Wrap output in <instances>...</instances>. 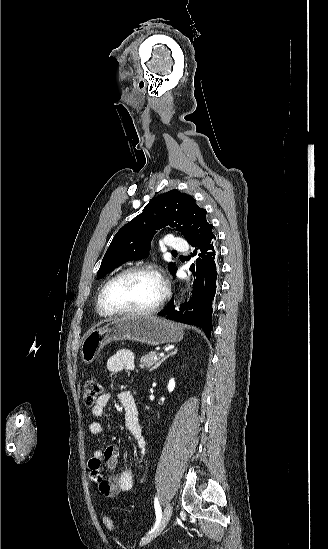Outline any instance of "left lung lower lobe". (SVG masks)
Listing matches in <instances>:
<instances>
[{
	"instance_id": "1",
	"label": "left lung lower lobe",
	"mask_w": 328,
	"mask_h": 549,
	"mask_svg": "<svg viewBox=\"0 0 328 549\" xmlns=\"http://www.w3.org/2000/svg\"><path fill=\"white\" fill-rule=\"evenodd\" d=\"M215 236L205 239L194 246L191 257L196 261L191 266L194 275V287L191 299L176 311L174 299L166 307L167 318L178 322L200 326L208 338L213 329L211 318L214 309V297L219 289L218 250Z\"/></svg>"
}]
</instances>
